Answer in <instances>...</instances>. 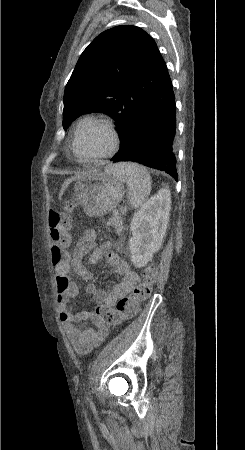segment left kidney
I'll return each instance as SVG.
<instances>
[{"label": "left kidney", "instance_id": "1", "mask_svg": "<svg viewBox=\"0 0 245 450\" xmlns=\"http://www.w3.org/2000/svg\"><path fill=\"white\" fill-rule=\"evenodd\" d=\"M170 209V191L160 189L134 214L129 249L131 262L135 267H144L160 249L169 222Z\"/></svg>", "mask_w": 245, "mask_h": 450}]
</instances>
